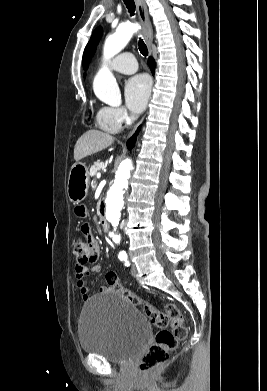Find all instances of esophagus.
Wrapping results in <instances>:
<instances>
[{
  "instance_id": "34e87169",
  "label": "esophagus",
  "mask_w": 267,
  "mask_h": 391,
  "mask_svg": "<svg viewBox=\"0 0 267 391\" xmlns=\"http://www.w3.org/2000/svg\"><path fill=\"white\" fill-rule=\"evenodd\" d=\"M138 15H139V20L142 26V32L144 39L146 43L150 46L153 38V29L152 25L150 22L147 6L144 0H135ZM137 126L132 130L131 134L134 133L136 130Z\"/></svg>"
}]
</instances>
